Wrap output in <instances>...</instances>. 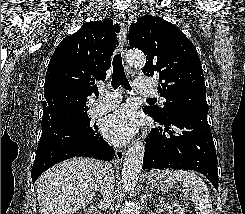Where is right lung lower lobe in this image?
<instances>
[{"label": "right lung lower lobe", "mask_w": 245, "mask_h": 214, "mask_svg": "<svg viewBox=\"0 0 245 214\" xmlns=\"http://www.w3.org/2000/svg\"><path fill=\"white\" fill-rule=\"evenodd\" d=\"M51 129H43L42 132L51 133ZM114 155V149L92 126L89 127L86 136L75 131L60 132L54 137L41 135L31 171L32 181L35 182L51 166L72 157L86 156L109 161Z\"/></svg>", "instance_id": "1"}]
</instances>
